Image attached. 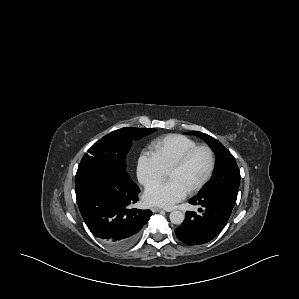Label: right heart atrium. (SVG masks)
I'll use <instances>...</instances> for the list:
<instances>
[{
	"label": "right heart atrium",
	"mask_w": 299,
	"mask_h": 299,
	"mask_svg": "<svg viewBox=\"0 0 299 299\" xmlns=\"http://www.w3.org/2000/svg\"><path fill=\"white\" fill-rule=\"evenodd\" d=\"M136 174L139 182L148 186L162 180L166 171L153 152L143 150L137 159Z\"/></svg>",
	"instance_id": "obj_1"
}]
</instances>
